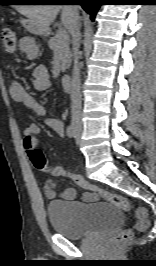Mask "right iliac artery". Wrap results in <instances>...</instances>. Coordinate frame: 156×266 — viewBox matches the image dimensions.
Returning <instances> with one entry per match:
<instances>
[{"mask_svg": "<svg viewBox=\"0 0 156 266\" xmlns=\"http://www.w3.org/2000/svg\"><path fill=\"white\" fill-rule=\"evenodd\" d=\"M67 135L70 137V138H74L76 137V129L74 127V125H69L67 127Z\"/></svg>", "mask_w": 156, "mask_h": 266, "instance_id": "82829eb1", "label": "right iliac artery"}]
</instances>
